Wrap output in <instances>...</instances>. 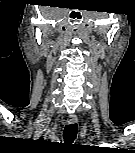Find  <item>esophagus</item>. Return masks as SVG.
I'll list each match as a JSON object with an SVG mask.
<instances>
[{
	"mask_svg": "<svg viewBox=\"0 0 135 153\" xmlns=\"http://www.w3.org/2000/svg\"><path fill=\"white\" fill-rule=\"evenodd\" d=\"M67 122H68L69 124H74V123H76V122H77V117H76V115H73V114L69 115V116H68V119H67Z\"/></svg>",
	"mask_w": 135,
	"mask_h": 153,
	"instance_id": "esophagus-1",
	"label": "esophagus"
}]
</instances>
